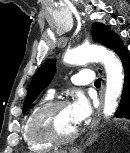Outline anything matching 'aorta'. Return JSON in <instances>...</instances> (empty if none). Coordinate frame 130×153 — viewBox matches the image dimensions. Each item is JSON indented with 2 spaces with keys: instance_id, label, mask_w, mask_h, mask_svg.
Listing matches in <instances>:
<instances>
[{
  "instance_id": "1",
  "label": "aorta",
  "mask_w": 130,
  "mask_h": 153,
  "mask_svg": "<svg viewBox=\"0 0 130 153\" xmlns=\"http://www.w3.org/2000/svg\"><path fill=\"white\" fill-rule=\"evenodd\" d=\"M64 62L70 65L84 64L90 61L101 62L106 71V92L103 114L106 118L114 114L124 81L123 67L118 57L101 46H81L65 53Z\"/></svg>"
}]
</instances>
